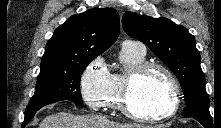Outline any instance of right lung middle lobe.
I'll return each mask as SVG.
<instances>
[{
  "label": "right lung middle lobe",
  "instance_id": "obj_1",
  "mask_svg": "<svg viewBox=\"0 0 221 128\" xmlns=\"http://www.w3.org/2000/svg\"><path fill=\"white\" fill-rule=\"evenodd\" d=\"M93 59L74 62L63 67L40 70L35 93L26 107L25 113L61 100H70L83 107L79 89L80 77Z\"/></svg>",
  "mask_w": 221,
  "mask_h": 128
}]
</instances>
